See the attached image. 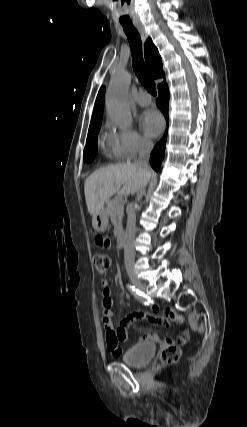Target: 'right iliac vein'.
Wrapping results in <instances>:
<instances>
[{"mask_svg": "<svg viewBox=\"0 0 247 427\" xmlns=\"http://www.w3.org/2000/svg\"><path fill=\"white\" fill-rule=\"evenodd\" d=\"M131 282L139 289L141 290L143 293L146 292V287L145 285L136 277H131Z\"/></svg>", "mask_w": 247, "mask_h": 427, "instance_id": "63e3f726", "label": "right iliac vein"}]
</instances>
